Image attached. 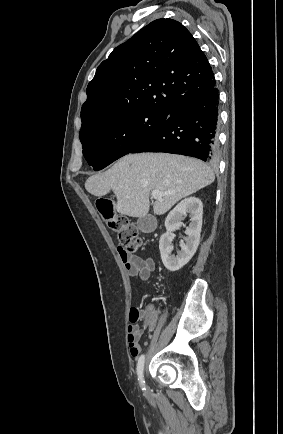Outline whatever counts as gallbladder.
Wrapping results in <instances>:
<instances>
[{
	"mask_svg": "<svg viewBox=\"0 0 283 434\" xmlns=\"http://www.w3.org/2000/svg\"><path fill=\"white\" fill-rule=\"evenodd\" d=\"M137 228L144 232V233H150L155 230L156 228V219L152 215H145L143 217H140L137 220Z\"/></svg>",
	"mask_w": 283,
	"mask_h": 434,
	"instance_id": "1",
	"label": "gallbladder"
}]
</instances>
